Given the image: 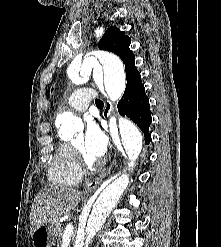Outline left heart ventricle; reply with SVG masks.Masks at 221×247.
<instances>
[{"label":"left heart ventricle","instance_id":"b2bd125f","mask_svg":"<svg viewBox=\"0 0 221 247\" xmlns=\"http://www.w3.org/2000/svg\"><path fill=\"white\" fill-rule=\"evenodd\" d=\"M74 145L77 146L78 148H80L82 151H84V147H83V137L80 136L75 142Z\"/></svg>","mask_w":221,"mask_h":247}]
</instances>
